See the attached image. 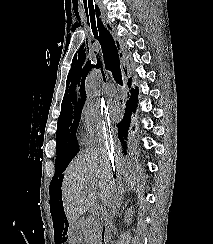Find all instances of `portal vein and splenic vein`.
Segmentation results:
<instances>
[{"label": "portal vein and splenic vein", "instance_id": "portal-vein-and-splenic-vein-1", "mask_svg": "<svg viewBox=\"0 0 213 244\" xmlns=\"http://www.w3.org/2000/svg\"><path fill=\"white\" fill-rule=\"evenodd\" d=\"M93 186H97V184L95 183Z\"/></svg>", "mask_w": 213, "mask_h": 244}]
</instances>
